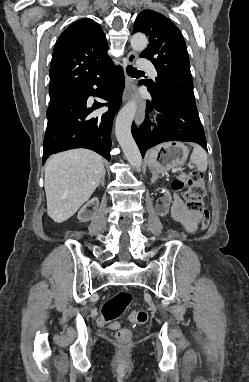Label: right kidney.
Listing matches in <instances>:
<instances>
[{"mask_svg": "<svg viewBox=\"0 0 249 382\" xmlns=\"http://www.w3.org/2000/svg\"><path fill=\"white\" fill-rule=\"evenodd\" d=\"M99 200L97 197L90 198L89 201L86 202L85 206L81 208L78 212V220L81 222H88L92 220L94 213L92 211H88L87 208H92L93 205L98 204Z\"/></svg>", "mask_w": 249, "mask_h": 382, "instance_id": "obj_1", "label": "right kidney"}]
</instances>
